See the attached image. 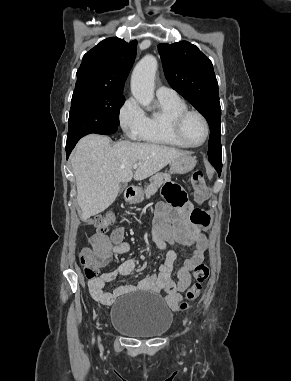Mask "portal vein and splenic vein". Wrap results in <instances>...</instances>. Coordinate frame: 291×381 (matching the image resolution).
<instances>
[{"mask_svg": "<svg viewBox=\"0 0 291 381\" xmlns=\"http://www.w3.org/2000/svg\"><path fill=\"white\" fill-rule=\"evenodd\" d=\"M138 166H139V164H138V163H135V164L133 165V169H137Z\"/></svg>", "mask_w": 291, "mask_h": 381, "instance_id": "1", "label": "portal vein and splenic vein"}]
</instances>
